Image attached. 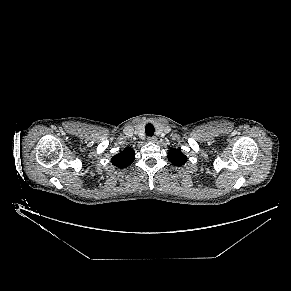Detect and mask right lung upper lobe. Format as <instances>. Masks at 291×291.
Listing matches in <instances>:
<instances>
[{
    "label": "right lung upper lobe",
    "instance_id": "1",
    "mask_svg": "<svg viewBox=\"0 0 291 291\" xmlns=\"http://www.w3.org/2000/svg\"><path fill=\"white\" fill-rule=\"evenodd\" d=\"M134 161V150L132 148H127L115 155L111 162L114 166L118 168H126Z\"/></svg>",
    "mask_w": 291,
    "mask_h": 291
}]
</instances>
